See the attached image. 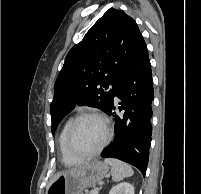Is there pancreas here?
I'll return each mask as SVG.
<instances>
[{"instance_id": "cf45deb5", "label": "pancreas", "mask_w": 201, "mask_h": 194, "mask_svg": "<svg viewBox=\"0 0 201 194\" xmlns=\"http://www.w3.org/2000/svg\"><path fill=\"white\" fill-rule=\"evenodd\" d=\"M81 194H91V192H89V193H88V192H85V193H81Z\"/></svg>"}]
</instances>
